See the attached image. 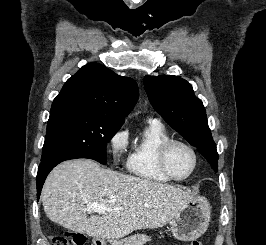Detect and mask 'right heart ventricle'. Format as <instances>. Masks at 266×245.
Returning <instances> with one entry per match:
<instances>
[{"instance_id":"obj_1","label":"right heart ventricle","mask_w":266,"mask_h":245,"mask_svg":"<svg viewBox=\"0 0 266 245\" xmlns=\"http://www.w3.org/2000/svg\"><path fill=\"white\" fill-rule=\"evenodd\" d=\"M170 138L171 134L161 121L148 120L142 135L136 139L130 151V172L148 184L170 183L172 180L163 174L158 162L159 149Z\"/></svg>"}]
</instances>
